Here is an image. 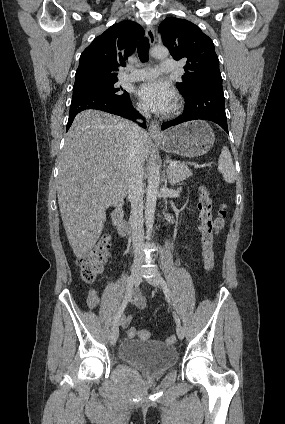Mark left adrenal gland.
<instances>
[{
  "mask_svg": "<svg viewBox=\"0 0 285 424\" xmlns=\"http://www.w3.org/2000/svg\"><path fill=\"white\" fill-rule=\"evenodd\" d=\"M165 183H167V177L165 178Z\"/></svg>",
  "mask_w": 285,
  "mask_h": 424,
  "instance_id": "left-adrenal-gland-1",
  "label": "left adrenal gland"
}]
</instances>
